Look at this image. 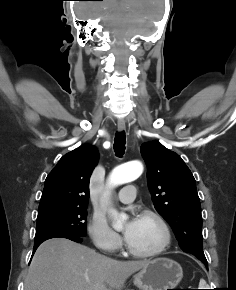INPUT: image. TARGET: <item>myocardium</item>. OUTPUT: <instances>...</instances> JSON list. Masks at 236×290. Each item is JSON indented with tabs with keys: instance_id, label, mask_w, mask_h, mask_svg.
Instances as JSON below:
<instances>
[{
	"instance_id": "1",
	"label": "myocardium",
	"mask_w": 236,
	"mask_h": 290,
	"mask_svg": "<svg viewBox=\"0 0 236 290\" xmlns=\"http://www.w3.org/2000/svg\"><path fill=\"white\" fill-rule=\"evenodd\" d=\"M140 217L153 219L160 227L162 231V241L154 249L149 251H141L133 248L128 242H126V249L128 253L138 258H152L163 253L171 243V231L166 222V220L156 211L153 210H143L140 213Z\"/></svg>"
}]
</instances>
